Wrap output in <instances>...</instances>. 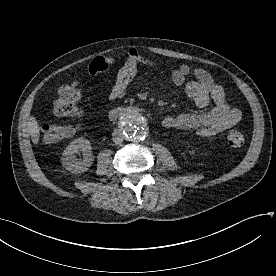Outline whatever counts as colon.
<instances>
[{"mask_svg":"<svg viewBox=\"0 0 276 276\" xmlns=\"http://www.w3.org/2000/svg\"><path fill=\"white\" fill-rule=\"evenodd\" d=\"M82 91L76 83L64 85L59 88L57 97L53 104L56 115L64 118L78 117L82 114L79 102ZM73 129L69 126L44 125L42 127L43 139L52 144L70 137ZM226 140L229 146L240 148L245 142L243 133L238 129H232L227 133Z\"/></svg>","mask_w":276,"mask_h":276,"instance_id":"obj_1","label":"colon"}]
</instances>
